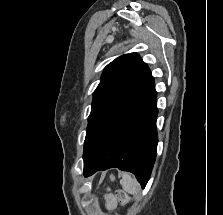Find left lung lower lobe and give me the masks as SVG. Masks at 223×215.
<instances>
[{"label":"left lung lower lobe","instance_id":"left-lung-lower-lobe-1","mask_svg":"<svg viewBox=\"0 0 223 215\" xmlns=\"http://www.w3.org/2000/svg\"><path fill=\"white\" fill-rule=\"evenodd\" d=\"M153 84L145 95L112 128L93 158L84 165V175L117 167L132 172L144 188L157 153V102Z\"/></svg>","mask_w":223,"mask_h":215}]
</instances>
